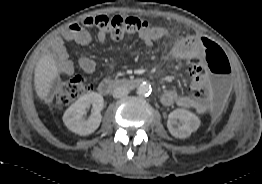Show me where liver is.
I'll return each instance as SVG.
<instances>
[{"mask_svg":"<svg viewBox=\"0 0 262 184\" xmlns=\"http://www.w3.org/2000/svg\"><path fill=\"white\" fill-rule=\"evenodd\" d=\"M59 77L56 60L51 54H45L38 61L34 71V86L37 96L48 102L54 81Z\"/></svg>","mask_w":262,"mask_h":184,"instance_id":"liver-1","label":"liver"}]
</instances>
